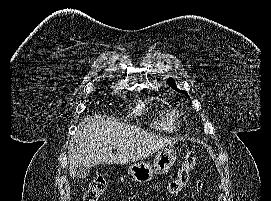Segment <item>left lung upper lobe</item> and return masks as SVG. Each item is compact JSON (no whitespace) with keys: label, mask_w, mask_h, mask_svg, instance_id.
<instances>
[{"label":"left lung upper lobe","mask_w":271,"mask_h":201,"mask_svg":"<svg viewBox=\"0 0 271 201\" xmlns=\"http://www.w3.org/2000/svg\"><path fill=\"white\" fill-rule=\"evenodd\" d=\"M168 84H169L173 89H175L176 91L181 92V93H184L187 97H189V96H188V93H187L186 91L180 90V89L177 88V86H176V84H175V81H174L172 78H169V79H168Z\"/></svg>","instance_id":"5c2ea615"}]
</instances>
